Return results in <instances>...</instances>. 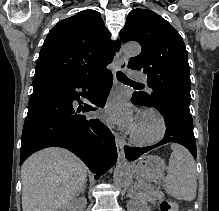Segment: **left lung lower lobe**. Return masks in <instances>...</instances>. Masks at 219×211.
Listing matches in <instances>:
<instances>
[{"label":"left lung lower lobe","instance_id":"0a47b994","mask_svg":"<svg viewBox=\"0 0 219 211\" xmlns=\"http://www.w3.org/2000/svg\"><path fill=\"white\" fill-rule=\"evenodd\" d=\"M132 101L134 104L152 106L151 104L141 100L137 93L133 94ZM158 111L165 119L166 131L164 138L159 143L148 147L138 148L125 146V156L128 161H134L149 150L170 142L185 146L191 152L192 156L196 158L197 150L193 133L192 117L178 111Z\"/></svg>","mask_w":219,"mask_h":211}]
</instances>
